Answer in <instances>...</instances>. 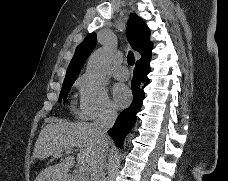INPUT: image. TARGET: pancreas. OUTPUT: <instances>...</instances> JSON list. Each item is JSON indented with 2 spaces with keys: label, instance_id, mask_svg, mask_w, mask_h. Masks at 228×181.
Instances as JSON below:
<instances>
[{
  "label": "pancreas",
  "instance_id": "1",
  "mask_svg": "<svg viewBox=\"0 0 228 181\" xmlns=\"http://www.w3.org/2000/svg\"><path fill=\"white\" fill-rule=\"evenodd\" d=\"M88 175H89V173H87V175H84V177H82V175H80V173H78V171H75L72 179H74V181H87Z\"/></svg>",
  "mask_w": 228,
  "mask_h": 181
}]
</instances>
